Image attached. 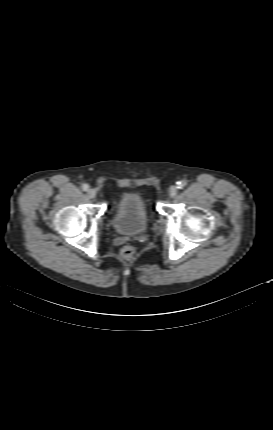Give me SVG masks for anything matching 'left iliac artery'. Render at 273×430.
<instances>
[{
	"label": "left iliac artery",
	"instance_id": "left-iliac-artery-1",
	"mask_svg": "<svg viewBox=\"0 0 273 430\" xmlns=\"http://www.w3.org/2000/svg\"><path fill=\"white\" fill-rule=\"evenodd\" d=\"M176 184L178 189H183L187 183L185 181H179Z\"/></svg>",
	"mask_w": 273,
	"mask_h": 430
}]
</instances>
